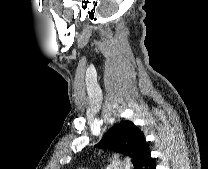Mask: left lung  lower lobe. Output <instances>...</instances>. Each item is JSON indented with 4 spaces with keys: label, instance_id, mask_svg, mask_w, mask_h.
<instances>
[{
    "label": "left lung lower lobe",
    "instance_id": "1",
    "mask_svg": "<svg viewBox=\"0 0 208 169\" xmlns=\"http://www.w3.org/2000/svg\"><path fill=\"white\" fill-rule=\"evenodd\" d=\"M136 169H156V165L151 158L150 149L142 154Z\"/></svg>",
    "mask_w": 208,
    "mask_h": 169
}]
</instances>
